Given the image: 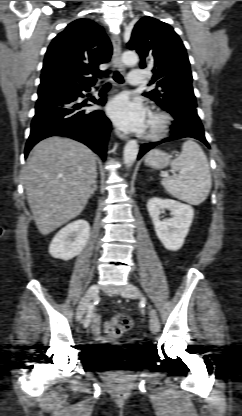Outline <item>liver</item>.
Instances as JSON below:
<instances>
[{"label":"liver","instance_id":"liver-1","mask_svg":"<svg viewBox=\"0 0 242 416\" xmlns=\"http://www.w3.org/2000/svg\"><path fill=\"white\" fill-rule=\"evenodd\" d=\"M97 156L84 144L52 136L31 150L24 185L34 221L48 235L85 208L96 184Z\"/></svg>","mask_w":242,"mask_h":416}]
</instances>
